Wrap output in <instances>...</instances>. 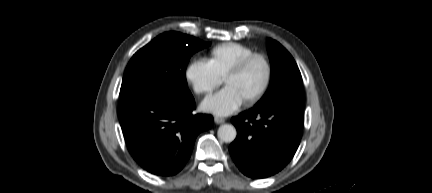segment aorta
Wrapping results in <instances>:
<instances>
[{
    "label": "aorta",
    "instance_id": "obj_1",
    "mask_svg": "<svg viewBox=\"0 0 432 193\" xmlns=\"http://www.w3.org/2000/svg\"><path fill=\"white\" fill-rule=\"evenodd\" d=\"M217 135L221 141L231 143L236 138L237 132L233 125L223 124L219 127Z\"/></svg>",
    "mask_w": 432,
    "mask_h": 193
}]
</instances>
